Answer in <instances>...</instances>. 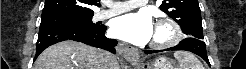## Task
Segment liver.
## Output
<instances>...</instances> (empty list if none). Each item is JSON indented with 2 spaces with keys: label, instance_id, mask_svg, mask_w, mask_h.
Instances as JSON below:
<instances>
[{
  "label": "liver",
  "instance_id": "liver-1",
  "mask_svg": "<svg viewBox=\"0 0 246 69\" xmlns=\"http://www.w3.org/2000/svg\"><path fill=\"white\" fill-rule=\"evenodd\" d=\"M108 52L88 45L64 41L45 49L34 69H106ZM113 69H119L118 62Z\"/></svg>",
  "mask_w": 246,
  "mask_h": 69
}]
</instances>
